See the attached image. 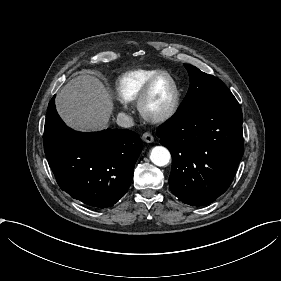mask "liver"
<instances>
[{"label":"liver","instance_id":"liver-1","mask_svg":"<svg viewBox=\"0 0 281 281\" xmlns=\"http://www.w3.org/2000/svg\"><path fill=\"white\" fill-rule=\"evenodd\" d=\"M113 107L108 89L91 75L71 79L56 97V108L61 118L79 131L107 128Z\"/></svg>","mask_w":281,"mask_h":281}]
</instances>
